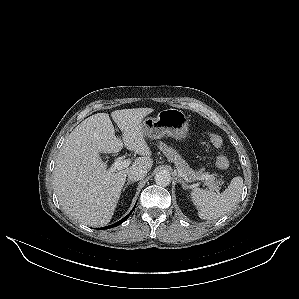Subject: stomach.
<instances>
[{
    "instance_id": "stomach-1",
    "label": "stomach",
    "mask_w": 299,
    "mask_h": 299,
    "mask_svg": "<svg viewBox=\"0 0 299 299\" xmlns=\"http://www.w3.org/2000/svg\"><path fill=\"white\" fill-rule=\"evenodd\" d=\"M188 128L184 112L174 108L161 110L156 117L145 118L141 123L144 136L151 139L167 135L182 140L187 137Z\"/></svg>"
}]
</instances>
